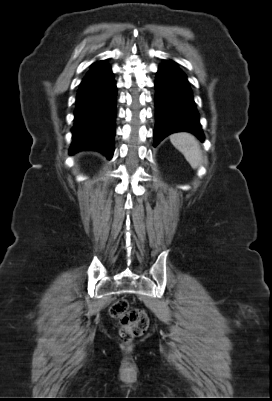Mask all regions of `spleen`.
<instances>
[{
  "instance_id": "obj_1",
  "label": "spleen",
  "mask_w": 272,
  "mask_h": 401,
  "mask_svg": "<svg viewBox=\"0 0 272 401\" xmlns=\"http://www.w3.org/2000/svg\"><path fill=\"white\" fill-rule=\"evenodd\" d=\"M171 143L185 157L193 169H197L202 163V151L198 141L189 133H176L170 137Z\"/></svg>"
}]
</instances>
